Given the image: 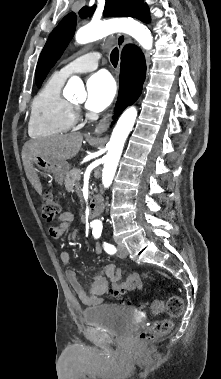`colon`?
Listing matches in <instances>:
<instances>
[{"label":"colon","instance_id":"obj_1","mask_svg":"<svg viewBox=\"0 0 221 379\" xmlns=\"http://www.w3.org/2000/svg\"><path fill=\"white\" fill-rule=\"evenodd\" d=\"M60 207L56 199L52 194L46 193L41 205V217L47 222H53L59 215ZM119 295V294H115ZM149 311L154 314H160L166 312L170 317H179L183 312V300L173 295L167 299L166 302L155 299L147 304ZM172 328V322L170 319H161L155 321L149 328L143 330L139 337L140 340L149 343L157 338L167 335Z\"/></svg>","mask_w":221,"mask_h":379}]
</instances>
